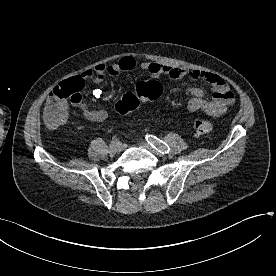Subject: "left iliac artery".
Here are the masks:
<instances>
[{
  "instance_id": "44dca946",
  "label": "left iliac artery",
  "mask_w": 276,
  "mask_h": 276,
  "mask_svg": "<svg viewBox=\"0 0 276 276\" xmlns=\"http://www.w3.org/2000/svg\"><path fill=\"white\" fill-rule=\"evenodd\" d=\"M145 139L152 147L162 154L168 153L170 150L169 146L165 142L153 135H146Z\"/></svg>"
}]
</instances>
